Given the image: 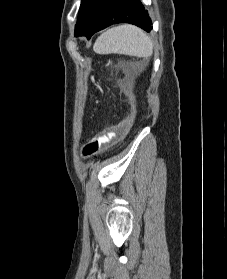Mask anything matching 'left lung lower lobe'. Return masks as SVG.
<instances>
[{
    "instance_id": "left-lung-lower-lobe-1",
    "label": "left lung lower lobe",
    "mask_w": 227,
    "mask_h": 279,
    "mask_svg": "<svg viewBox=\"0 0 227 279\" xmlns=\"http://www.w3.org/2000/svg\"><path fill=\"white\" fill-rule=\"evenodd\" d=\"M117 23L135 24L147 32L152 29L151 19L140 0H93L75 36L90 39L95 32Z\"/></svg>"
}]
</instances>
